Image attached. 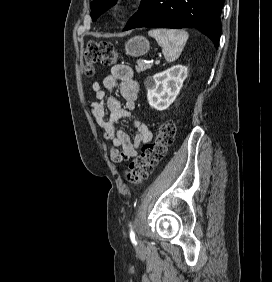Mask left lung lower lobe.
<instances>
[{
  "label": "left lung lower lobe",
  "instance_id": "1",
  "mask_svg": "<svg viewBox=\"0 0 272 282\" xmlns=\"http://www.w3.org/2000/svg\"><path fill=\"white\" fill-rule=\"evenodd\" d=\"M224 0H142L141 7L124 30L141 27H193L218 48Z\"/></svg>",
  "mask_w": 272,
  "mask_h": 282
}]
</instances>
